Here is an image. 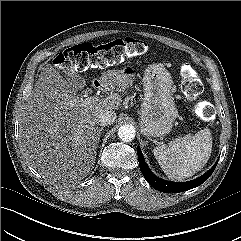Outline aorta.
<instances>
[{"mask_svg":"<svg viewBox=\"0 0 241 241\" xmlns=\"http://www.w3.org/2000/svg\"><path fill=\"white\" fill-rule=\"evenodd\" d=\"M136 131L133 125L125 124L118 130L119 138L124 142H130L135 138Z\"/></svg>","mask_w":241,"mask_h":241,"instance_id":"aorta-1","label":"aorta"}]
</instances>
